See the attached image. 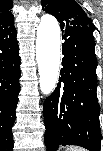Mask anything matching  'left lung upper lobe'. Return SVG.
Returning <instances> with one entry per match:
<instances>
[{"mask_svg": "<svg viewBox=\"0 0 103 151\" xmlns=\"http://www.w3.org/2000/svg\"><path fill=\"white\" fill-rule=\"evenodd\" d=\"M42 9L52 14L60 23L61 29L80 28L90 32L95 30L91 19L74 0H41Z\"/></svg>", "mask_w": 103, "mask_h": 151, "instance_id": "obj_1", "label": "left lung upper lobe"}]
</instances>
